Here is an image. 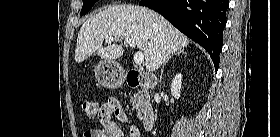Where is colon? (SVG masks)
<instances>
[{
  "mask_svg": "<svg viewBox=\"0 0 280 137\" xmlns=\"http://www.w3.org/2000/svg\"><path fill=\"white\" fill-rule=\"evenodd\" d=\"M81 109L89 118H94L99 112L98 104L93 100H83ZM134 137H139V135H134Z\"/></svg>",
  "mask_w": 280,
  "mask_h": 137,
  "instance_id": "obj_1",
  "label": "colon"
}]
</instances>
